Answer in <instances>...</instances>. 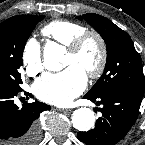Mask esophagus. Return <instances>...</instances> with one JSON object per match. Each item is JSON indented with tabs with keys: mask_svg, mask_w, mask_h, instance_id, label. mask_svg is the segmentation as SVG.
<instances>
[{
	"mask_svg": "<svg viewBox=\"0 0 145 145\" xmlns=\"http://www.w3.org/2000/svg\"><path fill=\"white\" fill-rule=\"evenodd\" d=\"M58 111H60V112H69V111H71V109H58Z\"/></svg>",
	"mask_w": 145,
	"mask_h": 145,
	"instance_id": "esophagus-1",
	"label": "esophagus"
}]
</instances>
